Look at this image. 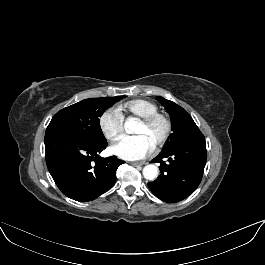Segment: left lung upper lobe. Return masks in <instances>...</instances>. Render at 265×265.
I'll return each mask as SVG.
<instances>
[{
    "label": "left lung upper lobe",
    "instance_id": "5c2ea615",
    "mask_svg": "<svg viewBox=\"0 0 265 265\" xmlns=\"http://www.w3.org/2000/svg\"><path fill=\"white\" fill-rule=\"evenodd\" d=\"M156 99L166 108L172 122L173 133L163 150L169 149L180 142L203 135L185 109L163 97H156Z\"/></svg>",
    "mask_w": 265,
    "mask_h": 265
}]
</instances>
